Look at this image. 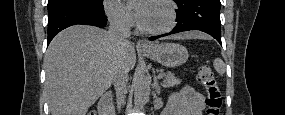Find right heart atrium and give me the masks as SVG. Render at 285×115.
I'll return each instance as SVG.
<instances>
[{
    "label": "right heart atrium",
    "instance_id": "obj_1",
    "mask_svg": "<svg viewBox=\"0 0 285 115\" xmlns=\"http://www.w3.org/2000/svg\"><path fill=\"white\" fill-rule=\"evenodd\" d=\"M104 8L112 23L121 27H131L134 25L132 13L119 1L107 0L104 3Z\"/></svg>",
    "mask_w": 285,
    "mask_h": 115
}]
</instances>
